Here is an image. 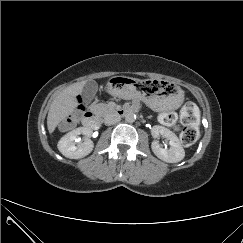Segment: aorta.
<instances>
[{"mask_svg":"<svg viewBox=\"0 0 243 243\" xmlns=\"http://www.w3.org/2000/svg\"><path fill=\"white\" fill-rule=\"evenodd\" d=\"M136 120V115L133 112H128L125 114V121L128 123H133Z\"/></svg>","mask_w":243,"mask_h":243,"instance_id":"1","label":"aorta"}]
</instances>
